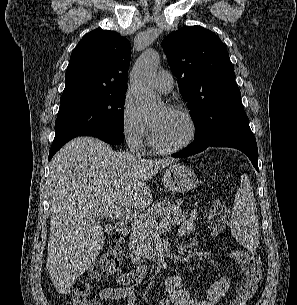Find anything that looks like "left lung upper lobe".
Returning a JSON list of instances; mask_svg holds the SVG:
<instances>
[{
	"label": "left lung upper lobe",
	"instance_id": "obj_1",
	"mask_svg": "<svg viewBox=\"0 0 297 305\" xmlns=\"http://www.w3.org/2000/svg\"><path fill=\"white\" fill-rule=\"evenodd\" d=\"M179 91L195 123V139L244 113L234 67L223 42L201 26H186L162 42Z\"/></svg>",
	"mask_w": 297,
	"mask_h": 305
}]
</instances>
